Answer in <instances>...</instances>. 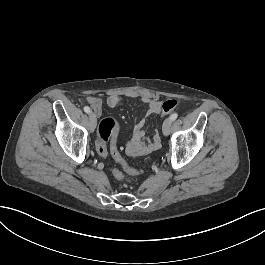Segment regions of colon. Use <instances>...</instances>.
<instances>
[{
	"label": "colon",
	"mask_w": 265,
	"mask_h": 265,
	"mask_svg": "<svg viewBox=\"0 0 265 265\" xmlns=\"http://www.w3.org/2000/svg\"><path fill=\"white\" fill-rule=\"evenodd\" d=\"M181 101L176 100V99H167L164 102V105L162 106L163 112L166 114H171V107L173 108V110H178L179 106H181ZM159 119H162V116H159ZM120 130V125L118 123V121L112 117H104L99 125V131H98V142L96 145V149L97 152L101 155V156H105L107 154L108 151V145L107 143L110 141L111 145H114L116 143V137L117 134ZM113 158L115 160L116 163H118L119 165L123 166L124 172L127 175L130 176H134V175H138L139 172L135 169L129 168L127 166L124 165V160L122 158V156L119 153H114ZM119 178H122L124 176L123 173H117Z\"/></svg>",
	"instance_id": "obj_1"
}]
</instances>
